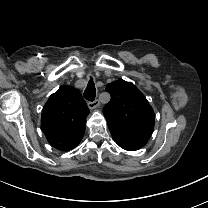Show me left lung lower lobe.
Segmentation results:
<instances>
[{
    "instance_id": "obj_1",
    "label": "left lung lower lobe",
    "mask_w": 208,
    "mask_h": 208,
    "mask_svg": "<svg viewBox=\"0 0 208 208\" xmlns=\"http://www.w3.org/2000/svg\"><path fill=\"white\" fill-rule=\"evenodd\" d=\"M114 141L123 149L135 151L143 147L148 139L143 131H133L114 125H108Z\"/></svg>"
}]
</instances>
